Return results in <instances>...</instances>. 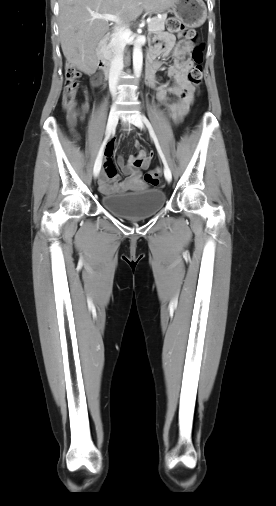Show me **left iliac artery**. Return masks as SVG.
I'll use <instances>...</instances> for the list:
<instances>
[{"label":"left iliac artery","instance_id":"1","mask_svg":"<svg viewBox=\"0 0 276 506\" xmlns=\"http://www.w3.org/2000/svg\"><path fill=\"white\" fill-rule=\"evenodd\" d=\"M141 117H142L143 122L145 123V125L147 126V128H148V130H149L150 136L152 137V139H153V141H154V143H155L156 149H157V151H158V153H159V155H160V157H161V159H162V162H163L164 166H165V167H168V164H167L166 158H165V156H164V154H163V152H162V150H161V147H160L159 141H158V139H157V137H156V134H155V132H154V130H153V127H152L151 123L149 122V120L146 118V116H145V115H143V114H142V116H141ZM165 178H166V177H165Z\"/></svg>","mask_w":276,"mask_h":506}]
</instances>
